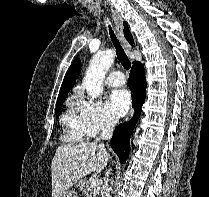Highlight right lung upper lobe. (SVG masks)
I'll return each instance as SVG.
<instances>
[{
	"label": "right lung upper lobe",
	"instance_id": "cb5924a9",
	"mask_svg": "<svg viewBox=\"0 0 209 197\" xmlns=\"http://www.w3.org/2000/svg\"><path fill=\"white\" fill-rule=\"evenodd\" d=\"M124 35L126 39L129 41L130 44H133V38L132 35L128 29L127 24L124 22ZM81 70V61L79 58L75 59L74 62L69 67L65 77L64 81L61 85L58 100L65 99L69 90L74 86L76 82V78L79 76Z\"/></svg>",
	"mask_w": 209,
	"mask_h": 197
}]
</instances>
